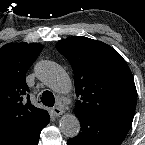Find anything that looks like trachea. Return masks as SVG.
I'll return each mask as SVG.
<instances>
[{"mask_svg":"<svg viewBox=\"0 0 145 145\" xmlns=\"http://www.w3.org/2000/svg\"><path fill=\"white\" fill-rule=\"evenodd\" d=\"M40 101L46 106H54L55 98L52 92L44 91L42 95H40Z\"/></svg>","mask_w":145,"mask_h":145,"instance_id":"obj_1","label":"trachea"}]
</instances>
